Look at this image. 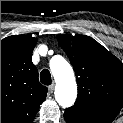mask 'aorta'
I'll return each instance as SVG.
<instances>
[{
  "label": "aorta",
  "instance_id": "762f6f07",
  "mask_svg": "<svg viewBox=\"0 0 123 123\" xmlns=\"http://www.w3.org/2000/svg\"><path fill=\"white\" fill-rule=\"evenodd\" d=\"M50 69L56 81V101L63 108L72 106L77 97V85L71 65L63 57L54 56Z\"/></svg>",
  "mask_w": 123,
  "mask_h": 123
}]
</instances>
